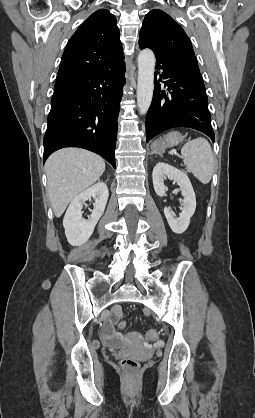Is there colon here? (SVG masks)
I'll list each match as a JSON object with an SVG mask.
<instances>
[{"label": "colon", "instance_id": "5ec220e1", "mask_svg": "<svg viewBox=\"0 0 255 418\" xmlns=\"http://www.w3.org/2000/svg\"><path fill=\"white\" fill-rule=\"evenodd\" d=\"M119 326L123 328L125 326V322L121 321ZM146 338L150 341L155 340L157 338V332L155 330L148 331L146 333ZM120 366L125 373L134 375L139 370L140 364L137 359L124 357L120 360Z\"/></svg>", "mask_w": 255, "mask_h": 418}]
</instances>
